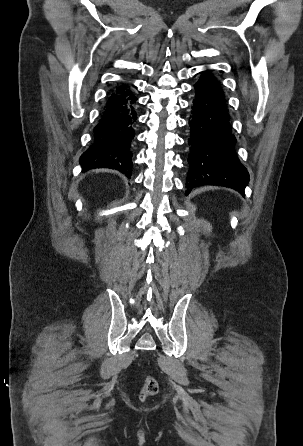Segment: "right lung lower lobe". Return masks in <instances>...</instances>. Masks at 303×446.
<instances>
[{"instance_id": "98d812e1", "label": "right lung lower lobe", "mask_w": 303, "mask_h": 446, "mask_svg": "<svg viewBox=\"0 0 303 446\" xmlns=\"http://www.w3.org/2000/svg\"><path fill=\"white\" fill-rule=\"evenodd\" d=\"M137 97L129 84L121 83L110 93L102 118L95 127L92 146L81 155L84 170L96 168L116 169L128 178L132 171L131 144L135 136L134 125Z\"/></svg>"}]
</instances>
